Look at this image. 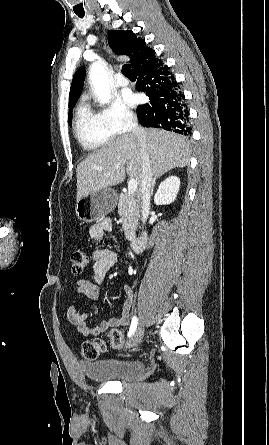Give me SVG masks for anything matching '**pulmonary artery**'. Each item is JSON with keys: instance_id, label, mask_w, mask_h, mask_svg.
I'll return each mask as SVG.
<instances>
[{"instance_id": "obj_1", "label": "pulmonary artery", "mask_w": 269, "mask_h": 445, "mask_svg": "<svg viewBox=\"0 0 269 445\" xmlns=\"http://www.w3.org/2000/svg\"><path fill=\"white\" fill-rule=\"evenodd\" d=\"M115 82L120 87H125L129 84L128 79L125 78L123 75H118L115 79Z\"/></svg>"}]
</instances>
